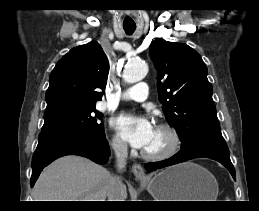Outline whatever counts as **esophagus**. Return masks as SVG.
Instances as JSON below:
<instances>
[{
    "label": "esophagus",
    "instance_id": "34e87169",
    "mask_svg": "<svg viewBox=\"0 0 259 211\" xmlns=\"http://www.w3.org/2000/svg\"><path fill=\"white\" fill-rule=\"evenodd\" d=\"M132 172L133 174L135 175V177L138 179V180H145L147 178L145 172H144V169L143 167L141 166V164H138V163H135L133 166H132Z\"/></svg>",
    "mask_w": 259,
    "mask_h": 211
}]
</instances>
